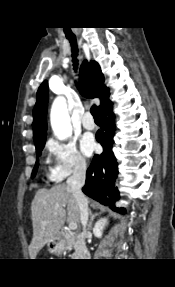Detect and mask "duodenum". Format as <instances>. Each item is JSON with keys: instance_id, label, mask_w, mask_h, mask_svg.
<instances>
[{"instance_id": "1", "label": "duodenum", "mask_w": 175, "mask_h": 287, "mask_svg": "<svg viewBox=\"0 0 175 287\" xmlns=\"http://www.w3.org/2000/svg\"><path fill=\"white\" fill-rule=\"evenodd\" d=\"M85 239V234L79 233L76 236L72 235L69 232H63L61 235V241H69V242H78L79 247V256L82 259H87L90 257V253L84 248L83 241Z\"/></svg>"}]
</instances>
